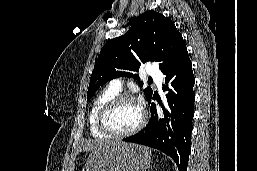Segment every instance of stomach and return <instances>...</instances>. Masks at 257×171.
Returning a JSON list of instances; mask_svg holds the SVG:
<instances>
[{
    "label": "stomach",
    "mask_w": 257,
    "mask_h": 171,
    "mask_svg": "<svg viewBox=\"0 0 257 171\" xmlns=\"http://www.w3.org/2000/svg\"><path fill=\"white\" fill-rule=\"evenodd\" d=\"M150 160L146 147L117 141L92 151L83 171H146Z\"/></svg>",
    "instance_id": "0dacf381"
}]
</instances>
